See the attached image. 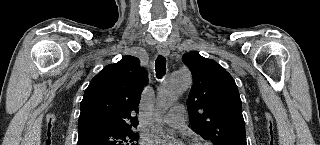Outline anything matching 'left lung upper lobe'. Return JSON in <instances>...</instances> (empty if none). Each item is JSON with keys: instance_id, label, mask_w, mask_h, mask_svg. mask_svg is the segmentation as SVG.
<instances>
[{"instance_id": "1", "label": "left lung upper lobe", "mask_w": 320, "mask_h": 145, "mask_svg": "<svg viewBox=\"0 0 320 145\" xmlns=\"http://www.w3.org/2000/svg\"><path fill=\"white\" fill-rule=\"evenodd\" d=\"M182 60L193 76L187 102L192 130L214 145H247L242 103L232 76L196 51Z\"/></svg>"}]
</instances>
